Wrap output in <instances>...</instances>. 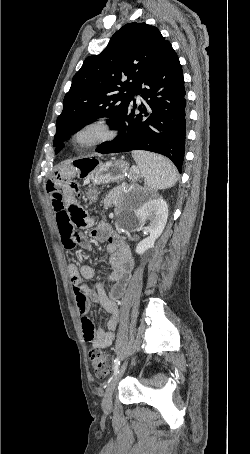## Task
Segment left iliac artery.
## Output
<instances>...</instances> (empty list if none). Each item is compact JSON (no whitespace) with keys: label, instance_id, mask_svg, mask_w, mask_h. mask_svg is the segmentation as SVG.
Wrapping results in <instances>:
<instances>
[{"label":"left iliac artery","instance_id":"obj_1","mask_svg":"<svg viewBox=\"0 0 250 454\" xmlns=\"http://www.w3.org/2000/svg\"><path fill=\"white\" fill-rule=\"evenodd\" d=\"M119 366H120V360H119V358H116L114 360V373H113V376H115L118 373Z\"/></svg>","mask_w":250,"mask_h":454}]
</instances>
